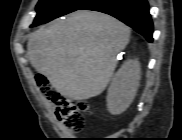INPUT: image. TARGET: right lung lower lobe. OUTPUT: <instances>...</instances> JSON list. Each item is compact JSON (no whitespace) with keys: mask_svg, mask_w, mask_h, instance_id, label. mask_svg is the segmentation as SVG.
<instances>
[{"mask_svg":"<svg viewBox=\"0 0 182 140\" xmlns=\"http://www.w3.org/2000/svg\"><path fill=\"white\" fill-rule=\"evenodd\" d=\"M78 10L112 15L143 35L147 41H153V23L147 0H90Z\"/></svg>","mask_w":182,"mask_h":140,"instance_id":"98d812e1","label":"right lung lower lobe"}]
</instances>
